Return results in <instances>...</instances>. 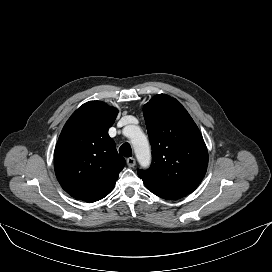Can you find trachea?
<instances>
[{
    "mask_svg": "<svg viewBox=\"0 0 272 272\" xmlns=\"http://www.w3.org/2000/svg\"><path fill=\"white\" fill-rule=\"evenodd\" d=\"M119 153L124 157L132 156V149L129 143H124L119 148Z\"/></svg>",
    "mask_w": 272,
    "mask_h": 272,
    "instance_id": "1",
    "label": "trachea"
}]
</instances>
